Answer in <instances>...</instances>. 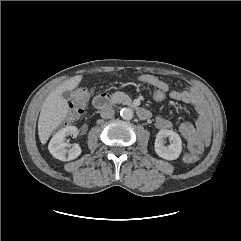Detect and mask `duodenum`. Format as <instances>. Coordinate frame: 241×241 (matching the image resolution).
Instances as JSON below:
<instances>
[{
	"label": "duodenum",
	"mask_w": 241,
	"mask_h": 241,
	"mask_svg": "<svg viewBox=\"0 0 241 241\" xmlns=\"http://www.w3.org/2000/svg\"><path fill=\"white\" fill-rule=\"evenodd\" d=\"M115 98L107 93H102L97 95L94 100H93V105L96 109L102 110L104 108H106L107 106H109L110 104H112L114 102ZM127 105L132 107L137 115L139 116V118H141L142 120H147L150 117L149 112L144 109L143 107L131 102V101H126Z\"/></svg>",
	"instance_id": "1"
}]
</instances>
